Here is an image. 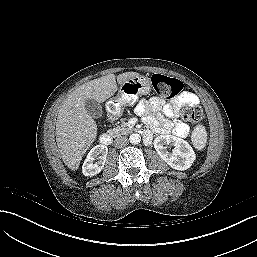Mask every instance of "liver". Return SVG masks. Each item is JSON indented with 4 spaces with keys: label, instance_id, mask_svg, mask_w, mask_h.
Instances as JSON below:
<instances>
[{
    "label": "liver",
    "instance_id": "obj_1",
    "mask_svg": "<svg viewBox=\"0 0 257 257\" xmlns=\"http://www.w3.org/2000/svg\"><path fill=\"white\" fill-rule=\"evenodd\" d=\"M139 76L137 72H125L116 77L108 74L91 80L74 90L61 106L56 122V142L65 165L77 170L83 155L95 141L97 124L85 109V101L94 99L99 103L117 91V83Z\"/></svg>",
    "mask_w": 257,
    "mask_h": 257
}]
</instances>
